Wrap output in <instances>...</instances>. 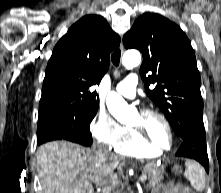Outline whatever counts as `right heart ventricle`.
<instances>
[{"label":"right heart ventricle","instance_id":"obj_1","mask_svg":"<svg viewBox=\"0 0 221 193\" xmlns=\"http://www.w3.org/2000/svg\"><path fill=\"white\" fill-rule=\"evenodd\" d=\"M112 148L117 154L126 156L153 157L158 155V152L140 142L127 126L123 127L122 136Z\"/></svg>","mask_w":221,"mask_h":193}]
</instances>
